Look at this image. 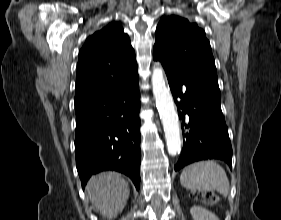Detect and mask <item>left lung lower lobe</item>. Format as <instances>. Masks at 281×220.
Masks as SVG:
<instances>
[{"label": "left lung lower lobe", "mask_w": 281, "mask_h": 220, "mask_svg": "<svg viewBox=\"0 0 281 220\" xmlns=\"http://www.w3.org/2000/svg\"><path fill=\"white\" fill-rule=\"evenodd\" d=\"M164 68L184 127V146L174 169L205 159H221L231 167L232 147L220 90L192 74Z\"/></svg>", "instance_id": "left-lung-lower-lobe-1"}]
</instances>
